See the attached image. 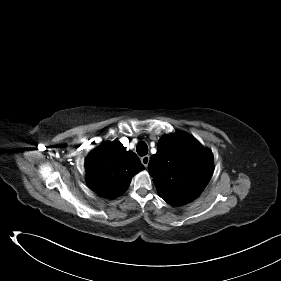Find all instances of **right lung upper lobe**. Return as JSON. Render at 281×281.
<instances>
[{
    "instance_id": "right-lung-upper-lobe-1",
    "label": "right lung upper lobe",
    "mask_w": 281,
    "mask_h": 281,
    "mask_svg": "<svg viewBox=\"0 0 281 281\" xmlns=\"http://www.w3.org/2000/svg\"><path fill=\"white\" fill-rule=\"evenodd\" d=\"M88 186L105 198L126 191L131 177L144 169L137 155L119 142H105L90 152L85 161Z\"/></svg>"
}]
</instances>
